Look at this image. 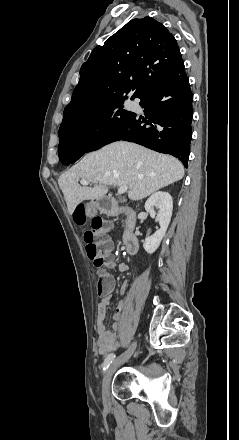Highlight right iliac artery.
Masks as SVG:
<instances>
[{
  "label": "right iliac artery",
  "mask_w": 239,
  "mask_h": 440,
  "mask_svg": "<svg viewBox=\"0 0 239 440\" xmlns=\"http://www.w3.org/2000/svg\"><path fill=\"white\" fill-rule=\"evenodd\" d=\"M115 358V354L111 353L109 355H107V357L105 358L104 362H103V371H105L106 369H108V367L110 366V364L112 363V361Z\"/></svg>",
  "instance_id": "82829eb1"
}]
</instances>
